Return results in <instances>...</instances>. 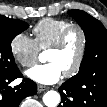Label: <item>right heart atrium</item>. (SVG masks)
I'll list each match as a JSON object with an SVG mask.
<instances>
[{
	"mask_svg": "<svg viewBox=\"0 0 107 107\" xmlns=\"http://www.w3.org/2000/svg\"><path fill=\"white\" fill-rule=\"evenodd\" d=\"M10 51L14 59L23 67L34 65L39 55V47L35 40L23 32L12 38Z\"/></svg>",
	"mask_w": 107,
	"mask_h": 107,
	"instance_id": "d8ad5b80",
	"label": "right heart atrium"
}]
</instances>
